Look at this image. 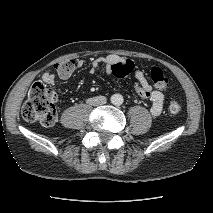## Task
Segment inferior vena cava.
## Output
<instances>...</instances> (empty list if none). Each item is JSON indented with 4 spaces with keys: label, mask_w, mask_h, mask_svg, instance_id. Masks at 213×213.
<instances>
[{
    "label": "inferior vena cava",
    "mask_w": 213,
    "mask_h": 213,
    "mask_svg": "<svg viewBox=\"0 0 213 213\" xmlns=\"http://www.w3.org/2000/svg\"><path fill=\"white\" fill-rule=\"evenodd\" d=\"M107 101L105 96H96V97H92L87 99V103L93 106H100L105 104Z\"/></svg>",
    "instance_id": "1"
}]
</instances>
